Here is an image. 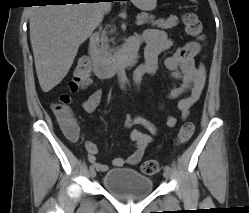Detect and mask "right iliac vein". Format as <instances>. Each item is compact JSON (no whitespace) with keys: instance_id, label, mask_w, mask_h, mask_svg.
<instances>
[{"instance_id":"1","label":"right iliac vein","mask_w":249,"mask_h":213,"mask_svg":"<svg viewBox=\"0 0 249 213\" xmlns=\"http://www.w3.org/2000/svg\"><path fill=\"white\" fill-rule=\"evenodd\" d=\"M96 176V171L93 169L90 171V177L94 178Z\"/></svg>"}]
</instances>
